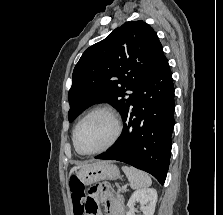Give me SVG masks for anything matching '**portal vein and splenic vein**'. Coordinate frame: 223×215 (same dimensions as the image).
I'll use <instances>...</instances> for the list:
<instances>
[{"mask_svg":"<svg viewBox=\"0 0 223 215\" xmlns=\"http://www.w3.org/2000/svg\"><path fill=\"white\" fill-rule=\"evenodd\" d=\"M122 189H123V190H126V189H127V186H126V185H123V186H122Z\"/></svg>","mask_w":223,"mask_h":215,"instance_id":"18ae733b","label":"portal vein and splenic vein"}]
</instances>
